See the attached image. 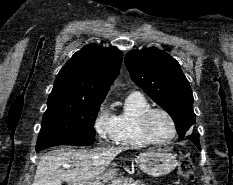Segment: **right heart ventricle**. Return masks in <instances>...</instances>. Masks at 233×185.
I'll use <instances>...</instances> for the list:
<instances>
[{"label":"right heart ventricle","instance_id":"right-heart-ventricle-1","mask_svg":"<svg viewBox=\"0 0 233 185\" xmlns=\"http://www.w3.org/2000/svg\"><path fill=\"white\" fill-rule=\"evenodd\" d=\"M149 108V101L139 92H132L126 97L123 109L114 116L116 144L129 147H145L151 144L144 137L140 125L143 113Z\"/></svg>","mask_w":233,"mask_h":185}]
</instances>
